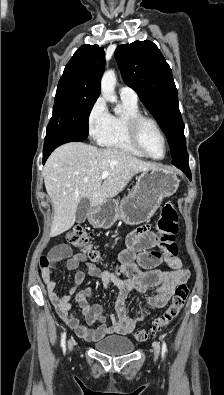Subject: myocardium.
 <instances>
[{
    "instance_id": "f54148a6",
    "label": "myocardium",
    "mask_w": 224,
    "mask_h": 395,
    "mask_svg": "<svg viewBox=\"0 0 224 395\" xmlns=\"http://www.w3.org/2000/svg\"><path fill=\"white\" fill-rule=\"evenodd\" d=\"M147 123L152 125L155 128V130L158 132V134L161 136V138L163 140L165 152L161 158H156V157H153L151 154H149L142 143L141 129H142L143 125L147 124ZM127 132H128L129 139H130L131 143L133 144V146L136 149H138L145 157H148L153 160H163L166 157L167 151H168L167 138H166L164 132L162 131L160 125L158 124V122L155 119H153L149 116L143 115V114L131 116L127 120Z\"/></svg>"
}]
</instances>
